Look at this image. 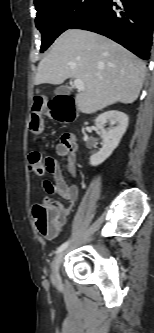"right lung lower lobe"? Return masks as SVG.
Returning a JSON list of instances; mask_svg holds the SVG:
<instances>
[{
    "mask_svg": "<svg viewBox=\"0 0 154 333\" xmlns=\"http://www.w3.org/2000/svg\"><path fill=\"white\" fill-rule=\"evenodd\" d=\"M154 0H101L85 18L69 29L105 35L142 59L152 45Z\"/></svg>",
    "mask_w": 154,
    "mask_h": 333,
    "instance_id": "obj_1",
    "label": "right lung lower lobe"
}]
</instances>
